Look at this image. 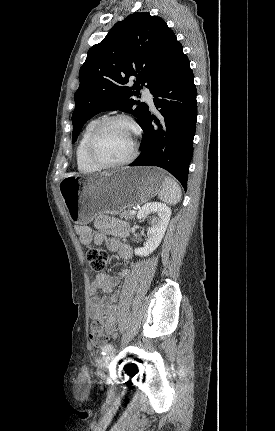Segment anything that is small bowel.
I'll return each instance as SVG.
<instances>
[{"instance_id":"1","label":"small bowel","mask_w":275,"mask_h":431,"mask_svg":"<svg viewBox=\"0 0 275 431\" xmlns=\"http://www.w3.org/2000/svg\"><path fill=\"white\" fill-rule=\"evenodd\" d=\"M75 232L79 235L81 243L89 245L91 243L106 244L109 250L115 252L122 260H129L133 251L130 245L122 242L129 233L126 223L101 217L95 222V229L86 225H76ZM130 270L123 268L119 272V277L127 278ZM119 277L108 276L106 273H99L95 276L90 285V318L100 322L105 331L114 336L116 334L118 319L121 307L118 304L120 291H114L119 283ZM106 294L99 297L98 292Z\"/></svg>"}]
</instances>
